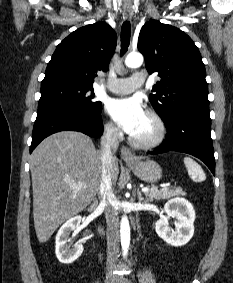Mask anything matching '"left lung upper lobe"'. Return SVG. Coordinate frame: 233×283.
Listing matches in <instances>:
<instances>
[{"instance_id": "1", "label": "left lung upper lobe", "mask_w": 233, "mask_h": 283, "mask_svg": "<svg viewBox=\"0 0 233 283\" xmlns=\"http://www.w3.org/2000/svg\"><path fill=\"white\" fill-rule=\"evenodd\" d=\"M138 49L145 57L147 71L161 78L149 100L163 121L187 109H209L205 66L188 35L151 20L141 28Z\"/></svg>"}]
</instances>
